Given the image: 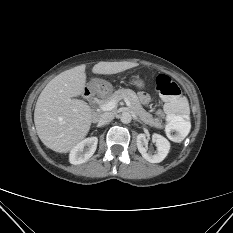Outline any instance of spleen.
I'll list each match as a JSON object with an SVG mask.
<instances>
[{"instance_id": "3e777b00", "label": "spleen", "mask_w": 233, "mask_h": 233, "mask_svg": "<svg viewBox=\"0 0 233 233\" xmlns=\"http://www.w3.org/2000/svg\"><path fill=\"white\" fill-rule=\"evenodd\" d=\"M171 122H184V119L182 116H175L171 119Z\"/></svg>"}]
</instances>
